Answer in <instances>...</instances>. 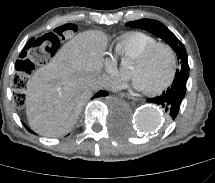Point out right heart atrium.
I'll list each match as a JSON object with an SVG mask.
<instances>
[{
  "mask_svg": "<svg viewBox=\"0 0 215 183\" xmlns=\"http://www.w3.org/2000/svg\"><path fill=\"white\" fill-rule=\"evenodd\" d=\"M105 66L109 74L114 76L119 83L122 82V77L119 71V64L116 57H109L108 59H106Z\"/></svg>",
  "mask_w": 215,
  "mask_h": 183,
  "instance_id": "d8ad5b80",
  "label": "right heart atrium"
}]
</instances>
